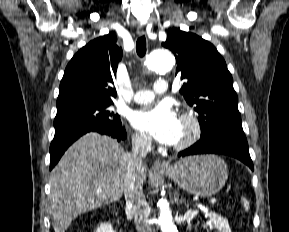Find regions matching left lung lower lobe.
Returning a JSON list of instances; mask_svg holds the SVG:
<instances>
[{"mask_svg":"<svg viewBox=\"0 0 289 232\" xmlns=\"http://www.w3.org/2000/svg\"><path fill=\"white\" fill-rule=\"evenodd\" d=\"M196 154H224L235 157L254 170L244 132H222L199 140L188 149L181 151L178 156Z\"/></svg>","mask_w":289,"mask_h":232,"instance_id":"1","label":"left lung lower lobe"}]
</instances>
